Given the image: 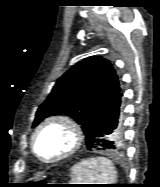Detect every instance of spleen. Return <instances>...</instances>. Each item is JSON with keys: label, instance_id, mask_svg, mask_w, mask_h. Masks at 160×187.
I'll return each instance as SVG.
<instances>
[{"label": "spleen", "instance_id": "1", "mask_svg": "<svg viewBox=\"0 0 160 187\" xmlns=\"http://www.w3.org/2000/svg\"><path fill=\"white\" fill-rule=\"evenodd\" d=\"M74 184H113L116 171L113 163L105 157L89 158L71 168Z\"/></svg>", "mask_w": 160, "mask_h": 187}]
</instances>
